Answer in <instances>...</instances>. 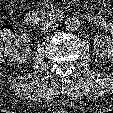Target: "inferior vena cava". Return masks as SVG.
I'll list each match as a JSON object with an SVG mask.
<instances>
[{
	"instance_id": "1",
	"label": "inferior vena cava",
	"mask_w": 113,
	"mask_h": 113,
	"mask_svg": "<svg viewBox=\"0 0 113 113\" xmlns=\"http://www.w3.org/2000/svg\"><path fill=\"white\" fill-rule=\"evenodd\" d=\"M58 27V24L54 21H45L44 23H42V31L44 32H51L53 30H55Z\"/></svg>"
}]
</instances>
